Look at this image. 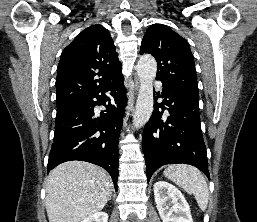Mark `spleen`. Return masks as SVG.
<instances>
[{
    "label": "spleen",
    "mask_w": 257,
    "mask_h": 222,
    "mask_svg": "<svg viewBox=\"0 0 257 222\" xmlns=\"http://www.w3.org/2000/svg\"><path fill=\"white\" fill-rule=\"evenodd\" d=\"M165 177L193 194L202 211L207 209L209 190L202 173L190 165H170L164 171Z\"/></svg>",
    "instance_id": "obj_1"
}]
</instances>
